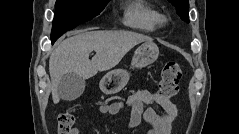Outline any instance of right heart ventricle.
Returning a JSON list of instances; mask_svg holds the SVG:
<instances>
[{"label":"right heart ventricle","mask_w":239,"mask_h":134,"mask_svg":"<svg viewBox=\"0 0 239 134\" xmlns=\"http://www.w3.org/2000/svg\"><path fill=\"white\" fill-rule=\"evenodd\" d=\"M159 13L148 2L132 1L124 8L123 23L134 29L153 32L159 24Z\"/></svg>","instance_id":"obj_1"}]
</instances>
